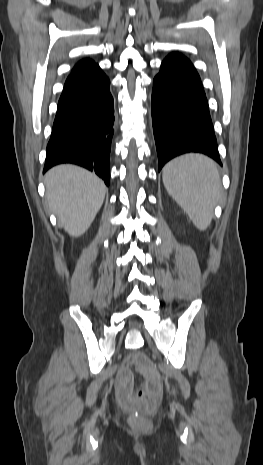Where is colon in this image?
Segmentation results:
<instances>
[{
  "label": "colon",
  "mask_w": 263,
  "mask_h": 465,
  "mask_svg": "<svg viewBox=\"0 0 263 465\" xmlns=\"http://www.w3.org/2000/svg\"><path fill=\"white\" fill-rule=\"evenodd\" d=\"M160 387L155 379H150L146 382L143 391L138 394L137 401L131 403L132 407H139L142 414L136 415L132 419V423L140 428H147L149 422L146 419V414H151L156 409V399L159 394Z\"/></svg>",
  "instance_id": "obj_1"
}]
</instances>
